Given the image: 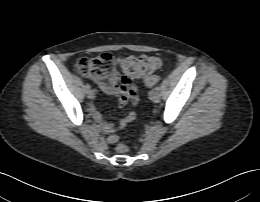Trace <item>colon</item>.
Wrapping results in <instances>:
<instances>
[{
    "label": "colon",
    "mask_w": 260,
    "mask_h": 202,
    "mask_svg": "<svg viewBox=\"0 0 260 202\" xmlns=\"http://www.w3.org/2000/svg\"><path fill=\"white\" fill-rule=\"evenodd\" d=\"M162 65V59L156 55H123L116 57L106 53L92 58H81L75 63L76 71L98 83H105L119 78L118 69L122 75L120 81L129 85L133 79L143 78L147 86H153L160 81L154 72ZM119 153H126L125 144L117 146Z\"/></svg>",
    "instance_id": "5ec220e1"
}]
</instances>
